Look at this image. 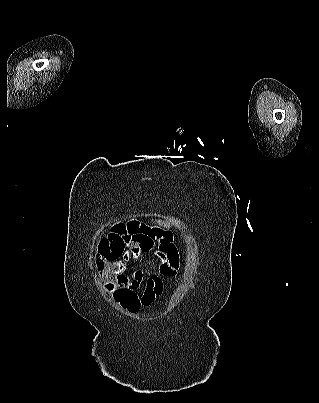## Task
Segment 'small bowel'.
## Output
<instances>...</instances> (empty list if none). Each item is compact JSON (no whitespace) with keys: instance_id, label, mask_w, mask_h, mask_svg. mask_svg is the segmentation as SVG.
<instances>
[{"instance_id":"c3829d8e","label":"small bowel","mask_w":319,"mask_h":403,"mask_svg":"<svg viewBox=\"0 0 319 403\" xmlns=\"http://www.w3.org/2000/svg\"><path fill=\"white\" fill-rule=\"evenodd\" d=\"M117 222L118 225L113 229L104 230V236L98 243L95 266L99 278L108 282V289L112 290V297L118 307L128 313H135L159 298L163 287L170 284L171 277L180 267L182 256L170 233L128 222L124 214ZM141 253L155 257L158 272L145 280L142 296L137 291L145 279L144 273L128 266L132 254Z\"/></svg>"}]
</instances>
